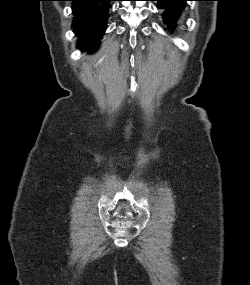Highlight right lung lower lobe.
I'll use <instances>...</instances> for the list:
<instances>
[{
  "mask_svg": "<svg viewBox=\"0 0 250 285\" xmlns=\"http://www.w3.org/2000/svg\"><path fill=\"white\" fill-rule=\"evenodd\" d=\"M73 2V27L78 36L77 46L92 52L98 46L106 28L109 1L113 0H69Z\"/></svg>",
  "mask_w": 250,
  "mask_h": 285,
  "instance_id": "obj_1",
  "label": "right lung lower lobe"
}]
</instances>
